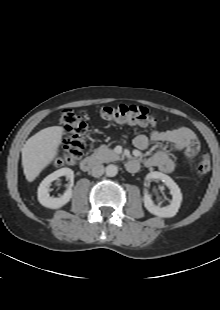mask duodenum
I'll return each mask as SVG.
<instances>
[{
  "label": "duodenum",
  "mask_w": 220,
  "mask_h": 310,
  "mask_svg": "<svg viewBox=\"0 0 220 310\" xmlns=\"http://www.w3.org/2000/svg\"><path fill=\"white\" fill-rule=\"evenodd\" d=\"M98 165V159L95 157H86L81 160L80 162V168L84 172H90ZM127 169L130 172H135L139 168V162L137 160H129L126 164Z\"/></svg>",
  "instance_id": "obj_1"
}]
</instances>
